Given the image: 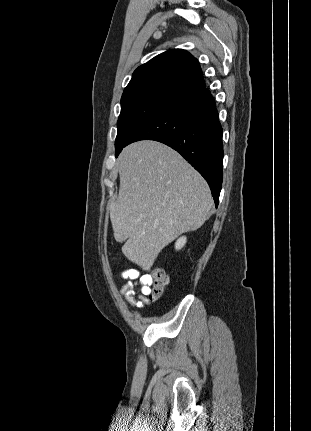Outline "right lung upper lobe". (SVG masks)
I'll return each mask as SVG.
<instances>
[{
  "label": "right lung upper lobe",
  "instance_id": "1",
  "mask_svg": "<svg viewBox=\"0 0 311 431\" xmlns=\"http://www.w3.org/2000/svg\"><path fill=\"white\" fill-rule=\"evenodd\" d=\"M204 87L198 61L185 50L172 49L139 66L123 94L153 88L181 97Z\"/></svg>",
  "mask_w": 311,
  "mask_h": 431
}]
</instances>
